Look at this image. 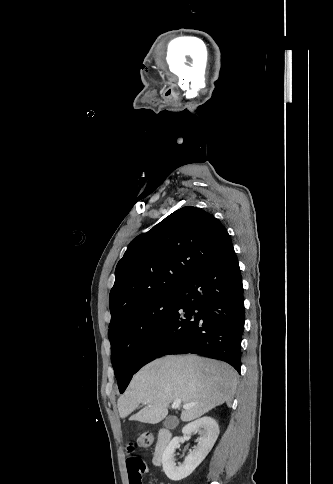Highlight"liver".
I'll list each match as a JSON object with an SVG mask.
<instances>
[{
    "instance_id": "obj_1",
    "label": "liver",
    "mask_w": 333,
    "mask_h": 484,
    "mask_svg": "<svg viewBox=\"0 0 333 484\" xmlns=\"http://www.w3.org/2000/svg\"><path fill=\"white\" fill-rule=\"evenodd\" d=\"M237 386V372L228 364L199 356H167L154 360L136 373L118 399L121 418L141 402L146 407L129 420L156 424L168 415L171 402L191 404L180 415L188 422L223 403L230 407Z\"/></svg>"
}]
</instances>
